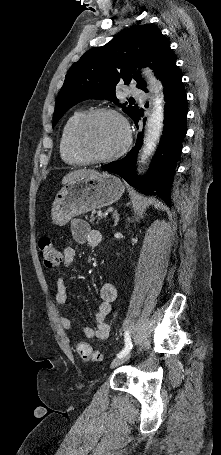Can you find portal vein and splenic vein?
Masks as SVG:
<instances>
[{
  "instance_id": "portal-vein-and-splenic-vein-1",
  "label": "portal vein and splenic vein",
  "mask_w": 221,
  "mask_h": 455,
  "mask_svg": "<svg viewBox=\"0 0 221 455\" xmlns=\"http://www.w3.org/2000/svg\"><path fill=\"white\" fill-rule=\"evenodd\" d=\"M98 217L102 218L104 215L101 212H98Z\"/></svg>"
}]
</instances>
